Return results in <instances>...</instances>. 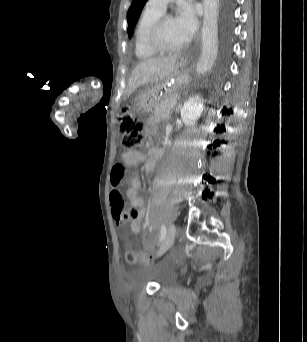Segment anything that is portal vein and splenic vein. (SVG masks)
<instances>
[{
  "instance_id": "portal-vein-and-splenic-vein-1",
  "label": "portal vein and splenic vein",
  "mask_w": 307,
  "mask_h": 342,
  "mask_svg": "<svg viewBox=\"0 0 307 342\" xmlns=\"http://www.w3.org/2000/svg\"><path fill=\"white\" fill-rule=\"evenodd\" d=\"M169 107H170L169 109L171 110L174 106L171 104Z\"/></svg>"
}]
</instances>
